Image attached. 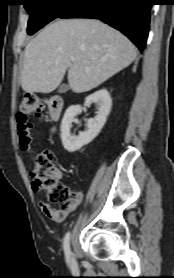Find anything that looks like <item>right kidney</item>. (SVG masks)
Returning <instances> with one entry per match:
<instances>
[{
    "instance_id": "obj_1",
    "label": "right kidney",
    "mask_w": 174,
    "mask_h": 278,
    "mask_svg": "<svg viewBox=\"0 0 174 278\" xmlns=\"http://www.w3.org/2000/svg\"><path fill=\"white\" fill-rule=\"evenodd\" d=\"M97 103L99 110L94 119L87 121V130L80 132L78 136H72L70 129L74 117L82 112L80 105H72L66 110L61 124V140L64 149L68 152H75L89 144L103 128L107 116L110 113L112 99L106 89H100L86 98L85 105Z\"/></svg>"
}]
</instances>
